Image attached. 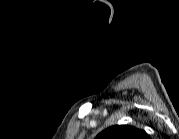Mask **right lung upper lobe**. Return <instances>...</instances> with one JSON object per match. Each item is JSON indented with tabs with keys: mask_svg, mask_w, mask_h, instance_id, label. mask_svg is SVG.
Here are the masks:
<instances>
[{
	"mask_svg": "<svg viewBox=\"0 0 179 139\" xmlns=\"http://www.w3.org/2000/svg\"><path fill=\"white\" fill-rule=\"evenodd\" d=\"M145 131L129 125H116L101 132L96 139H146Z\"/></svg>",
	"mask_w": 179,
	"mask_h": 139,
	"instance_id": "obj_1",
	"label": "right lung upper lobe"
}]
</instances>
